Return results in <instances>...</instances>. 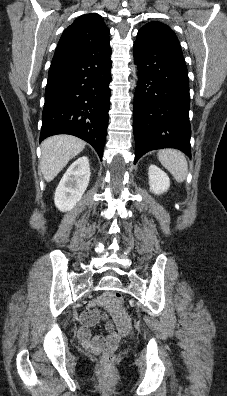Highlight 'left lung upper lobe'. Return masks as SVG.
<instances>
[{"mask_svg":"<svg viewBox=\"0 0 227 396\" xmlns=\"http://www.w3.org/2000/svg\"><path fill=\"white\" fill-rule=\"evenodd\" d=\"M137 38L148 43H161L181 49L179 40L171 28L161 22L151 21L138 32Z\"/></svg>","mask_w":227,"mask_h":396,"instance_id":"1","label":"left lung upper lobe"}]
</instances>
